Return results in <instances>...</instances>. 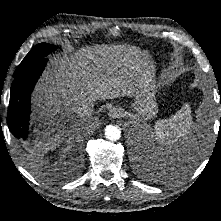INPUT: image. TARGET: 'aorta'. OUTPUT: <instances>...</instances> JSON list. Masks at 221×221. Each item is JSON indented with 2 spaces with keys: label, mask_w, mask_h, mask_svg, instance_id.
<instances>
[{
  "label": "aorta",
  "mask_w": 221,
  "mask_h": 221,
  "mask_svg": "<svg viewBox=\"0 0 221 221\" xmlns=\"http://www.w3.org/2000/svg\"><path fill=\"white\" fill-rule=\"evenodd\" d=\"M105 137L110 141H117L121 137V130L113 125H108L105 128Z\"/></svg>",
  "instance_id": "aorta-1"
}]
</instances>
